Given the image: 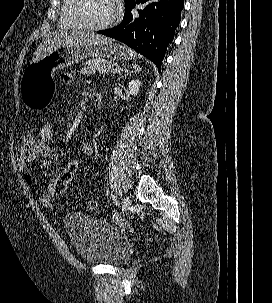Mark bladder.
Instances as JSON below:
<instances>
[{"label":"bladder","instance_id":"bladder-1","mask_svg":"<svg viewBox=\"0 0 272 303\" xmlns=\"http://www.w3.org/2000/svg\"><path fill=\"white\" fill-rule=\"evenodd\" d=\"M63 228L82 260L89 264L121 265L132 254V244L112 224L80 212L63 218Z\"/></svg>","mask_w":272,"mask_h":303}]
</instances>
